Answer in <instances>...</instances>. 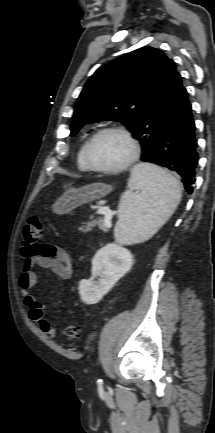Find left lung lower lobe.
<instances>
[{
	"instance_id": "left-lung-lower-lobe-1",
	"label": "left lung lower lobe",
	"mask_w": 215,
	"mask_h": 433,
	"mask_svg": "<svg viewBox=\"0 0 215 433\" xmlns=\"http://www.w3.org/2000/svg\"><path fill=\"white\" fill-rule=\"evenodd\" d=\"M195 123L187 91L182 87L177 94L166 125L161 131L154 157L149 161L176 173L188 194L193 192L199 160Z\"/></svg>"
}]
</instances>
